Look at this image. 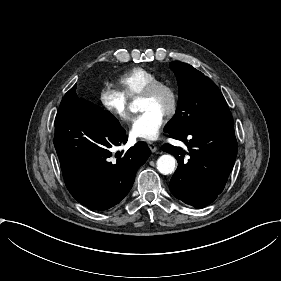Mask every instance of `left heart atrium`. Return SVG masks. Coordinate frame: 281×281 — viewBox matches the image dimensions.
<instances>
[{
  "mask_svg": "<svg viewBox=\"0 0 281 281\" xmlns=\"http://www.w3.org/2000/svg\"><path fill=\"white\" fill-rule=\"evenodd\" d=\"M164 124V116L151 110L143 111L133 121L130 135L144 140H157Z\"/></svg>",
  "mask_w": 281,
  "mask_h": 281,
  "instance_id": "1",
  "label": "left heart atrium"
}]
</instances>
